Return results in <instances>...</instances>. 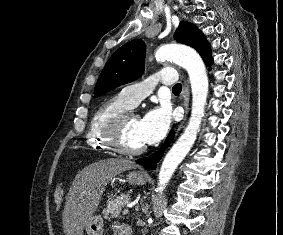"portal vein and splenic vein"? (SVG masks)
I'll return each mask as SVG.
<instances>
[{"mask_svg": "<svg viewBox=\"0 0 283 235\" xmlns=\"http://www.w3.org/2000/svg\"><path fill=\"white\" fill-rule=\"evenodd\" d=\"M128 212H129V205H127L125 208H124V210H123V214L125 215V214H128Z\"/></svg>", "mask_w": 283, "mask_h": 235, "instance_id": "1", "label": "portal vein and splenic vein"}]
</instances>
